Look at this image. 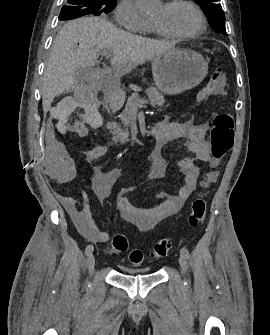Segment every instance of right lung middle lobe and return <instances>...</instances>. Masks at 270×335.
I'll return each instance as SVG.
<instances>
[{
    "instance_id": "dd1d6c3e",
    "label": "right lung middle lobe",
    "mask_w": 270,
    "mask_h": 335,
    "mask_svg": "<svg viewBox=\"0 0 270 335\" xmlns=\"http://www.w3.org/2000/svg\"><path fill=\"white\" fill-rule=\"evenodd\" d=\"M116 2L117 0H66L59 20H71L84 15L100 16L112 11Z\"/></svg>"
}]
</instances>
